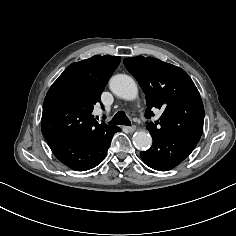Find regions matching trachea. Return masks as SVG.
Instances as JSON below:
<instances>
[{
  "mask_svg": "<svg viewBox=\"0 0 236 236\" xmlns=\"http://www.w3.org/2000/svg\"><path fill=\"white\" fill-rule=\"evenodd\" d=\"M110 124H117V125H126L131 126V122L129 118L126 116L124 111H119L115 114L112 120L109 122Z\"/></svg>",
  "mask_w": 236,
  "mask_h": 236,
  "instance_id": "3493384b",
  "label": "trachea"
}]
</instances>
